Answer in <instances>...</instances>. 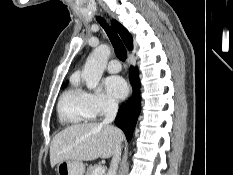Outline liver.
I'll list each match as a JSON object with an SVG mask.
<instances>
[{
  "label": "liver",
  "instance_id": "liver-1",
  "mask_svg": "<svg viewBox=\"0 0 233 175\" xmlns=\"http://www.w3.org/2000/svg\"><path fill=\"white\" fill-rule=\"evenodd\" d=\"M123 141L121 130L92 122L74 124L59 132L51 141L50 164L53 168L64 160L91 161L110 158Z\"/></svg>",
  "mask_w": 233,
  "mask_h": 175
}]
</instances>
